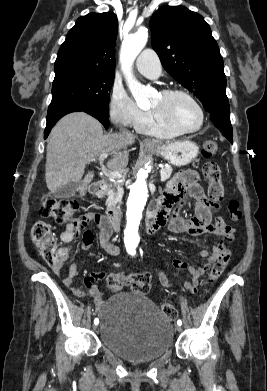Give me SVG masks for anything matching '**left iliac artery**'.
Here are the masks:
<instances>
[{
  "label": "left iliac artery",
  "mask_w": 267,
  "mask_h": 391,
  "mask_svg": "<svg viewBox=\"0 0 267 391\" xmlns=\"http://www.w3.org/2000/svg\"><path fill=\"white\" fill-rule=\"evenodd\" d=\"M177 324H178V325H181V324H182V321H181V320H178V321H177Z\"/></svg>",
  "instance_id": "obj_1"
}]
</instances>
